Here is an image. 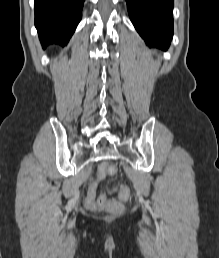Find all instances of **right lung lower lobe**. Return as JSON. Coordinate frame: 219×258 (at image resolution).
Masks as SVG:
<instances>
[{
    "label": "right lung lower lobe",
    "instance_id": "right-lung-lower-lobe-1",
    "mask_svg": "<svg viewBox=\"0 0 219 258\" xmlns=\"http://www.w3.org/2000/svg\"><path fill=\"white\" fill-rule=\"evenodd\" d=\"M85 0H35V26L43 47L67 45L82 17Z\"/></svg>",
    "mask_w": 219,
    "mask_h": 258
}]
</instances>
